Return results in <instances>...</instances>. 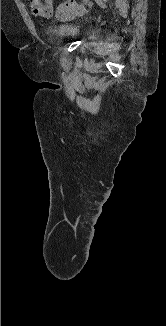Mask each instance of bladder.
<instances>
[{
  "mask_svg": "<svg viewBox=\"0 0 166 326\" xmlns=\"http://www.w3.org/2000/svg\"><path fill=\"white\" fill-rule=\"evenodd\" d=\"M55 31L57 34L64 37H76L80 34L78 27L66 22L56 25Z\"/></svg>",
  "mask_w": 166,
  "mask_h": 326,
  "instance_id": "obj_1",
  "label": "bladder"
}]
</instances>
